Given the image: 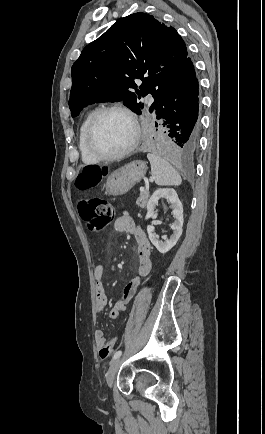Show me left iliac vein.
Wrapping results in <instances>:
<instances>
[{"mask_svg": "<svg viewBox=\"0 0 265 434\" xmlns=\"http://www.w3.org/2000/svg\"><path fill=\"white\" fill-rule=\"evenodd\" d=\"M120 362H121V358L120 357L117 358V359H115L112 362V364L110 365V368H109V370H108V372L106 374V382H107V385L109 387H111V385H112V383H113V381L115 379V375H116V373H117V371L119 369Z\"/></svg>", "mask_w": 265, "mask_h": 434, "instance_id": "obj_1", "label": "left iliac vein"}]
</instances>
